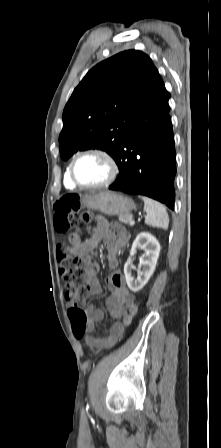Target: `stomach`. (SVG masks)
<instances>
[{"label": "stomach", "instance_id": "0dacf381", "mask_svg": "<svg viewBox=\"0 0 221 448\" xmlns=\"http://www.w3.org/2000/svg\"><path fill=\"white\" fill-rule=\"evenodd\" d=\"M83 204L89 209L106 215H131L135 209L132 199L115 192L103 191L83 198Z\"/></svg>", "mask_w": 221, "mask_h": 448}]
</instances>
